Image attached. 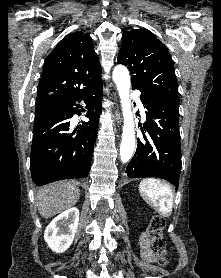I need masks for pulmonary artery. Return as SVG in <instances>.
Here are the masks:
<instances>
[{"mask_svg": "<svg viewBox=\"0 0 221 278\" xmlns=\"http://www.w3.org/2000/svg\"><path fill=\"white\" fill-rule=\"evenodd\" d=\"M136 100H137L138 106H139V108H140V110H141L143 116H145L144 108H143V105H142L140 99H139V98H136Z\"/></svg>", "mask_w": 221, "mask_h": 278, "instance_id": "obj_1", "label": "pulmonary artery"}]
</instances>
